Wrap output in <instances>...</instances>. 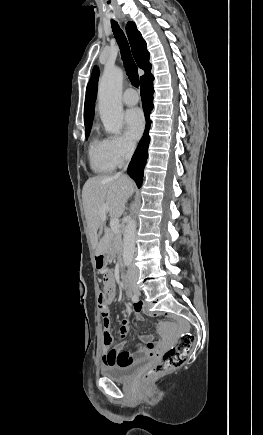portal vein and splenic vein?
I'll list each match as a JSON object with an SVG mask.
<instances>
[{"mask_svg": "<svg viewBox=\"0 0 263 435\" xmlns=\"http://www.w3.org/2000/svg\"><path fill=\"white\" fill-rule=\"evenodd\" d=\"M109 211V208L107 205H103L101 208V219L105 220L106 219V214ZM110 226L113 232L117 233L119 232V219L116 217L111 218L110 220Z\"/></svg>", "mask_w": 263, "mask_h": 435, "instance_id": "obj_1", "label": "portal vein and splenic vein"}]
</instances>
